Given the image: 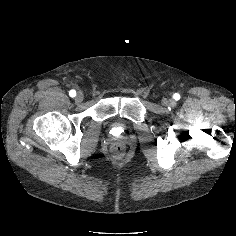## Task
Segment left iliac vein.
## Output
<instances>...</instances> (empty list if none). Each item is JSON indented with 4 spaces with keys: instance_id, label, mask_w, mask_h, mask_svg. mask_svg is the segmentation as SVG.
<instances>
[{
    "instance_id": "obj_1",
    "label": "left iliac vein",
    "mask_w": 236,
    "mask_h": 236,
    "mask_svg": "<svg viewBox=\"0 0 236 236\" xmlns=\"http://www.w3.org/2000/svg\"><path fill=\"white\" fill-rule=\"evenodd\" d=\"M162 104L164 106H174L175 105V101L173 99H167V98H164L162 100Z\"/></svg>"
}]
</instances>
